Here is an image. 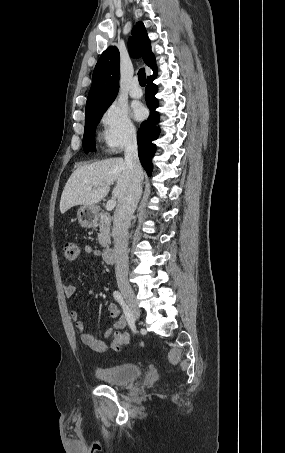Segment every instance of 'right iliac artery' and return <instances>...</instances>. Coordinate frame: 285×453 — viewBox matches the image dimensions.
Returning <instances> with one entry per match:
<instances>
[{
	"instance_id": "1",
	"label": "right iliac artery",
	"mask_w": 285,
	"mask_h": 453,
	"mask_svg": "<svg viewBox=\"0 0 285 453\" xmlns=\"http://www.w3.org/2000/svg\"><path fill=\"white\" fill-rule=\"evenodd\" d=\"M113 296H114L115 300L121 305L123 312L126 316V319L128 321L129 327L135 333L136 326H135L134 318H133L132 312L129 309L128 305L125 303L122 294L119 291H114Z\"/></svg>"
}]
</instances>
